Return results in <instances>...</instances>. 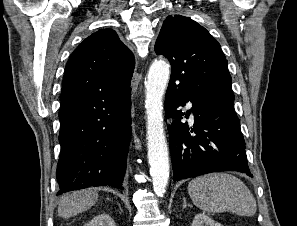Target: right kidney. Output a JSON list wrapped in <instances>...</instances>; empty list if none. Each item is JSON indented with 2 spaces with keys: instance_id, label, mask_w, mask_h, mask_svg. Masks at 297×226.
Segmentation results:
<instances>
[{
  "instance_id": "1",
  "label": "right kidney",
  "mask_w": 297,
  "mask_h": 226,
  "mask_svg": "<svg viewBox=\"0 0 297 226\" xmlns=\"http://www.w3.org/2000/svg\"><path fill=\"white\" fill-rule=\"evenodd\" d=\"M84 226H116L113 219L108 214H100L95 216L90 222Z\"/></svg>"
}]
</instances>
